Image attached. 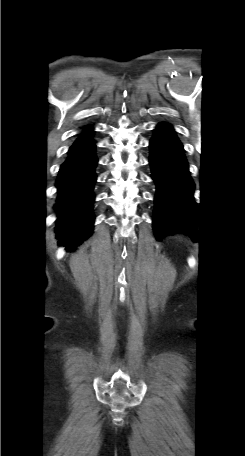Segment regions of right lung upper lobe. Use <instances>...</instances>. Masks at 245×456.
Returning <instances> with one entry per match:
<instances>
[{"label": "right lung upper lobe", "instance_id": "right-lung-upper-lobe-1", "mask_svg": "<svg viewBox=\"0 0 245 456\" xmlns=\"http://www.w3.org/2000/svg\"><path fill=\"white\" fill-rule=\"evenodd\" d=\"M92 134V129L91 128H86L84 132L80 135V137L75 141H83L91 137Z\"/></svg>", "mask_w": 245, "mask_h": 456}]
</instances>
